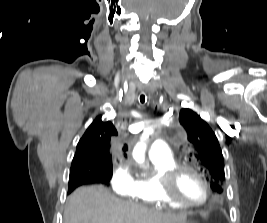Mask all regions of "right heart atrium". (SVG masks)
Returning a JSON list of instances; mask_svg holds the SVG:
<instances>
[{
    "instance_id": "right-heart-atrium-1",
    "label": "right heart atrium",
    "mask_w": 267,
    "mask_h": 223,
    "mask_svg": "<svg viewBox=\"0 0 267 223\" xmlns=\"http://www.w3.org/2000/svg\"><path fill=\"white\" fill-rule=\"evenodd\" d=\"M134 183V178L128 164L120 163L112 172L110 185L113 191L119 195L128 194Z\"/></svg>"
}]
</instances>
